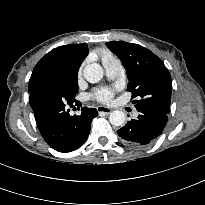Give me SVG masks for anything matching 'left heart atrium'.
Returning <instances> with one entry per match:
<instances>
[{
    "mask_svg": "<svg viewBox=\"0 0 205 205\" xmlns=\"http://www.w3.org/2000/svg\"><path fill=\"white\" fill-rule=\"evenodd\" d=\"M93 98L101 103H109L114 96V90L110 88H100L94 91Z\"/></svg>",
    "mask_w": 205,
    "mask_h": 205,
    "instance_id": "obj_1",
    "label": "left heart atrium"
}]
</instances>
